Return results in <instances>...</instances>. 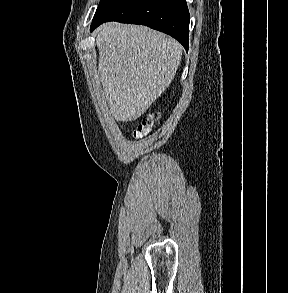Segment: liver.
I'll return each mask as SVG.
<instances>
[{
    "instance_id": "1",
    "label": "liver",
    "mask_w": 288,
    "mask_h": 293,
    "mask_svg": "<svg viewBox=\"0 0 288 293\" xmlns=\"http://www.w3.org/2000/svg\"><path fill=\"white\" fill-rule=\"evenodd\" d=\"M98 74L117 121L138 119L171 84L183 47L145 26L109 22L97 29Z\"/></svg>"
}]
</instances>
